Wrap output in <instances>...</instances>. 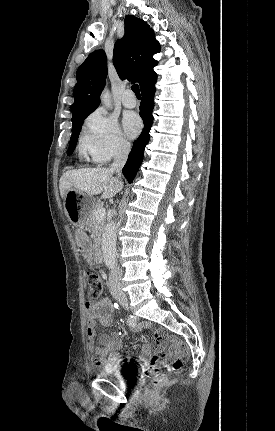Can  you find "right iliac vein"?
<instances>
[{
	"label": "right iliac vein",
	"instance_id": "63e3f726",
	"mask_svg": "<svg viewBox=\"0 0 275 431\" xmlns=\"http://www.w3.org/2000/svg\"><path fill=\"white\" fill-rule=\"evenodd\" d=\"M115 299L118 301L120 305L127 308L128 307V299L124 293H118L115 295Z\"/></svg>",
	"mask_w": 275,
	"mask_h": 431
}]
</instances>
